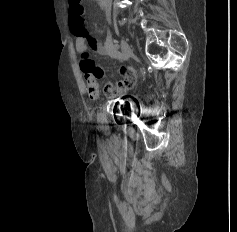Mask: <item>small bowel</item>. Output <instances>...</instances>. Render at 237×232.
Returning a JSON list of instances; mask_svg holds the SVG:
<instances>
[{"label":"small bowel","mask_w":237,"mask_h":232,"mask_svg":"<svg viewBox=\"0 0 237 232\" xmlns=\"http://www.w3.org/2000/svg\"><path fill=\"white\" fill-rule=\"evenodd\" d=\"M74 35L75 47L79 54L80 69L86 82L87 93L91 99L96 100L100 96L98 79L103 76L104 72L102 68L95 65L94 60L90 57V52L112 58H117L119 53L111 40L101 44L90 38L87 32H74ZM119 73L121 79L115 83H108L104 88L105 95L109 98H115L128 92L134 84L135 75L131 68H120Z\"/></svg>","instance_id":"1"}]
</instances>
